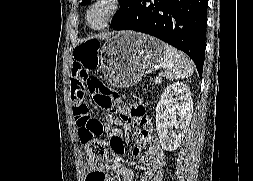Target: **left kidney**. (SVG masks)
Returning a JSON list of instances; mask_svg holds the SVG:
<instances>
[{
	"instance_id": "5707ae66",
	"label": "left kidney",
	"mask_w": 253,
	"mask_h": 181,
	"mask_svg": "<svg viewBox=\"0 0 253 181\" xmlns=\"http://www.w3.org/2000/svg\"><path fill=\"white\" fill-rule=\"evenodd\" d=\"M192 113L193 101L189 88L182 82L168 85L156 107V128L164 150L174 151L179 147Z\"/></svg>"
}]
</instances>
